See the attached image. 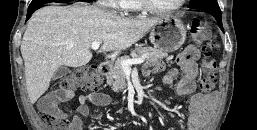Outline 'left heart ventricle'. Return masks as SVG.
Returning <instances> with one entry per match:
<instances>
[{
  "mask_svg": "<svg viewBox=\"0 0 257 130\" xmlns=\"http://www.w3.org/2000/svg\"><path fill=\"white\" fill-rule=\"evenodd\" d=\"M179 0H149V2L157 8H170Z\"/></svg>",
  "mask_w": 257,
  "mask_h": 130,
  "instance_id": "obj_1",
  "label": "left heart ventricle"
}]
</instances>
